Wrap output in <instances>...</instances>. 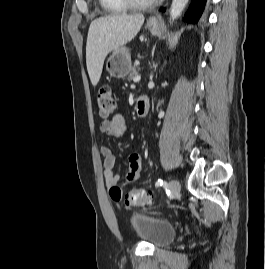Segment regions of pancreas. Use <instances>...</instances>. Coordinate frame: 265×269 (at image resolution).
Masks as SVG:
<instances>
[{
	"label": "pancreas",
	"mask_w": 265,
	"mask_h": 269,
	"mask_svg": "<svg viewBox=\"0 0 265 269\" xmlns=\"http://www.w3.org/2000/svg\"><path fill=\"white\" fill-rule=\"evenodd\" d=\"M138 72H139L138 64L135 63L131 69V72L129 73L128 79L132 80L134 77L138 76Z\"/></svg>",
	"instance_id": "cf45deb5"
}]
</instances>
